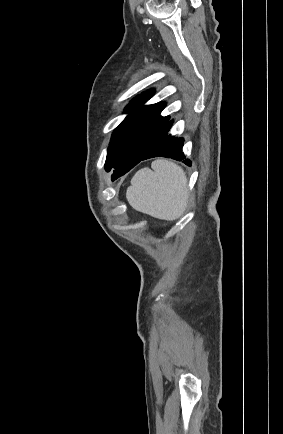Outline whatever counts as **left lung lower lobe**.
<instances>
[{
  "label": "left lung lower lobe",
  "instance_id": "0a47b994",
  "mask_svg": "<svg viewBox=\"0 0 283 434\" xmlns=\"http://www.w3.org/2000/svg\"><path fill=\"white\" fill-rule=\"evenodd\" d=\"M172 123L173 121H170L164 126V128L160 131L155 140L151 143L146 152L140 158L132 162L116 165L114 167L112 180H115L118 177L124 175L140 161L153 157H166L178 161L183 160L186 165L190 166V160L185 159L184 153L182 152L184 139L177 138L175 136H172L171 134H168Z\"/></svg>",
  "mask_w": 283,
  "mask_h": 434
}]
</instances>
